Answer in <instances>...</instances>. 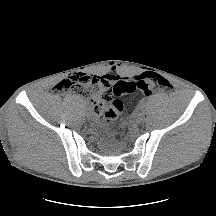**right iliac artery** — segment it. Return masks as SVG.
Masks as SVG:
<instances>
[{"label": "right iliac artery", "instance_id": "82829eb1", "mask_svg": "<svg viewBox=\"0 0 216 216\" xmlns=\"http://www.w3.org/2000/svg\"><path fill=\"white\" fill-rule=\"evenodd\" d=\"M83 110H84L85 113H88V112H89V109H88L87 106H84V107H83Z\"/></svg>", "mask_w": 216, "mask_h": 216}]
</instances>
